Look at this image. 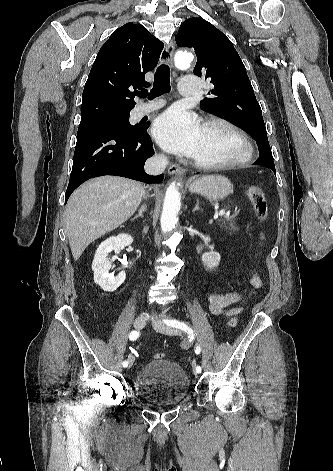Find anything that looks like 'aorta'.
Wrapping results in <instances>:
<instances>
[{
  "instance_id": "aorta-1",
  "label": "aorta",
  "mask_w": 333,
  "mask_h": 471,
  "mask_svg": "<svg viewBox=\"0 0 333 471\" xmlns=\"http://www.w3.org/2000/svg\"><path fill=\"white\" fill-rule=\"evenodd\" d=\"M192 60V54L188 52H179L175 57V65L180 69H187L190 67ZM180 200V193L178 192L175 182H173L167 188L160 219L161 229L164 233L172 231L178 222L177 215L181 206Z\"/></svg>"
}]
</instances>
